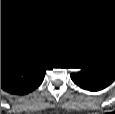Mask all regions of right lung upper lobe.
Here are the masks:
<instances>
[{
	"instance_id": "cb5924a9",
	"label": "right lung upper lobe",
	"mask_w": 115,
	"mask_h": 114,
	"mask_svg": "<svg viewBox=\"0 0 115 114\" xmlns=\"http://www.w3.org/2000/svg\"><path fill=\"white\" fill-rule=\"evenodd\" d=\"M1 49L7 51L6 57L13 59L25 58L24 54L18 48L14 47L6 41H1Z\"/></svg>"
}]
</instances>
